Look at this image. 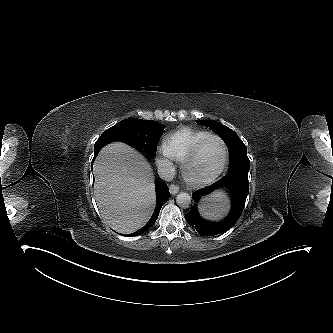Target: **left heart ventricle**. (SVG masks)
Returning <instances> with one entry per match:
<instances>
[{"mask_svg":"<svg viewBox=\"0 0 333 333\" xmlns=\"http://www.w3.org/2000/svg\"><path fill=\"white\" fill-rule=\"evenodd\" d=\"M224 156L222 143L217 139L207 141L197 158L190 164L189 172L195 178L211 176L221 165Z\"/></svg>","mask_w":333,"mask_h":333,"instance_id":"obj_1","label":"left heart ventricle"}]
</instances>
